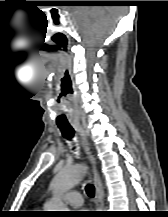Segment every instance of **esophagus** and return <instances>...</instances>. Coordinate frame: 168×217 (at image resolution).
I'll return each instance as SVG.
<instances>
[{
  "label": "esophagus",
  "mask_w": 168,
  "mask_h": 217,
  "mask_svg": "<svg viewBox=\"0 0 168 217\" xmlns=\"http://www.w3.org/2000/svg\"><path fill=\"white\" fill-rule=\"evenodd\" d=\"M76 130L79 132L82 138V144L85 149V152L87 154V157L92 165V170H93V180H94V185H95V203L97 209H102L104 206V190H103V185L101 178L99 176V173L97 171L96 167V159L95 156L93 155L88 140H87V135L85 131L83 130L82 127L77 126Z\"/></svg>",
  "instance_id": "esophagus-1"
}]
</instances>
